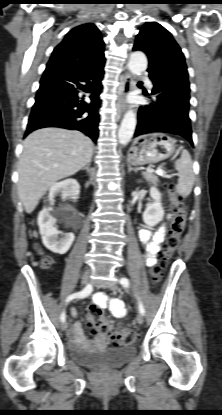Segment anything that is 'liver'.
<instances>
[{
  "label": "liver",
  "instance_id": "liver-1",
  "mask_svg": "<svg viewBox=\"0 0 222 415\" xmlns=\"http://www.w3.org/2000/svg\"><path fill=\"white\" fill-rule=\"evenodd\" d=\"M92 155L93 142L79 131L43 128L28 135L18 165V196L26 213L57 181L90 163Z\"/></svg>",
  "mask_w": 222,
  "mask_h": 415
}]
</instances>
